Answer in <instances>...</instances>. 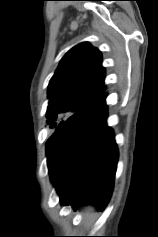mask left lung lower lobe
Wrapping results in <instances>:
<instances>
[{
  "label": "left lung lower lobe",
  "mask_w": 158,
  "mask_h": 237,
  "mask_svg": "<svg viewBox=\"0 0 158 237\" xmlns=\"http://www.w3.org/2000/svg\"><path fill=\"white\" fill-rule=\"evenodd\" d=\"M105 98L101 94L75 112L46 144L51 180L61 203L74 209L92 202L103 210L112 193L118 151L105 122Z\"/></svg>",
  "instance_id": "left-lung-lower-lobe-1"
}]
</instances>
